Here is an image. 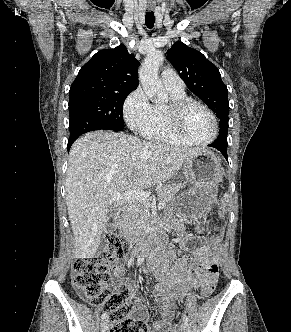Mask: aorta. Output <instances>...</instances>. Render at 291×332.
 Wrapping results in <instances>:
<instances>
[{
    "label": "aorta",
    "mask_w": 291,
    "mask_h": 332,
    "mask_svg": "<svg viewBox=\"0 0 291 332\" xmlns=\"http://www.w3.org/2000/svg\"><path fill=\"white\" fill-rule=\"evenodd\" d=\"M163 60L164 56L161 51L151 50L139 69V79L143 90L152 101L158 103L168 101V95L158 78V69Z\"/></svg>",
    "instance_id": "obj_1"
}]
</instances>
